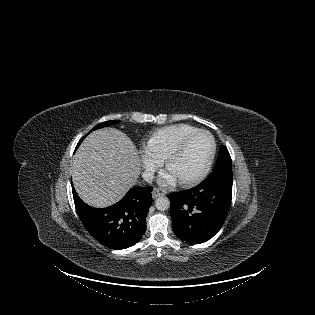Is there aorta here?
I'll list each match as a JSON object with an SVG mask.
<instances>
[{"mask_svg": "<svg viewBox=\"0 0 315 315\" xmlns=\"http://www.w3.org/2000/svg\"><path fill=\"white\" fill-rule=\"evenodd\" d=\"M155 207L159 210V211H165L168 210L170 207V201L167 197L165 196H161L158 197L155 200Z\"/></svg>", "mask_w": 315, "mask_h": 315, "instance_id": "762f6f07", "label": "aorta"}]
</instances>
